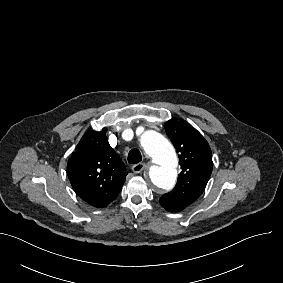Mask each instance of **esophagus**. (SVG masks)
<instances>
[{
    "label": "esophagus",
    "mask_w": 283,
    "mask_h": 283,
    "mask_svg": "<svg viewBox=\"0 0 283 283\" xmlns=\"http://www.w3.org/2000/svg\"><path fill=\"white\" fill-rule=\"evenodd\" d=\"M146 167V164L145 163H138V164H135L132 166V171L134 173H140L142 170H144V168Z\"/></svg>",
    "instance_id": "1"
}]
</instances>
